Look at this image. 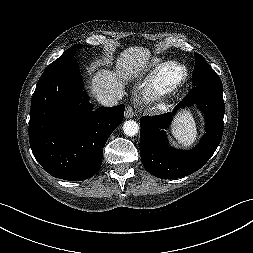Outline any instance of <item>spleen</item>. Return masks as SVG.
Listing matches in <instances>:
<instances>
[{
    "label": "spleen",
    "mask_w": 253,
    "mask_h": 253,
    "mask_svg": "<svg viewBox=\"0 0 253 253\" xmlns=\"http://www.w3.org/2000/svg\"><path fill=\"white\" fill-rule=\"evenodd\" d=\"M172 135L184 147H190L197 140L196 123L189 113L178 118L171 129Z\"/></svg>",
    "instance_id": "3e777b00"
}]
</instances>
